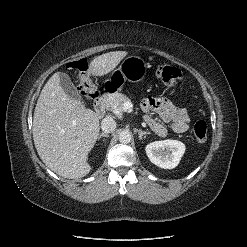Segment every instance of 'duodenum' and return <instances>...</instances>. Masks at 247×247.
Returning <instances> with one entry per match:
<instances>
[{"instance_id": "obj_1", "label": "duodenum", "mask_w": 247, "mask_h": 247, "mask_svg": "<svg viewBox=\"0 0 247 247\" xmlns=\"http://www.w3.org/2000/svg\"><path fill=\"white\" fill-rule=\"evenodd\" d=\"M106 94H102L98 96L95 101H94V110L98 115H102L105 110V105H106Z\"/></svg>"}]
</instances>
